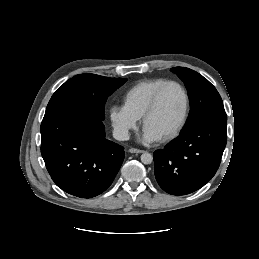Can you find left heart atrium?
I'll return each instance as SVG.
<instances>
[{"instance_id":"39dd6f15","label":"left heart atrium","mask_w":259,"mask_h":259,"mask_svg":"<svg viewBox=\"0 0 259 259\" xmlns=\"http://www.w3.org/2000/svg\"><path fill=\"white\" fill-rule=\"evenodd\" d=\"M159 137L154 135L152 132H150L148 129H144L142 134V141L145 143H152L154 141H157Z\"/></svg>"}]
</instances>
